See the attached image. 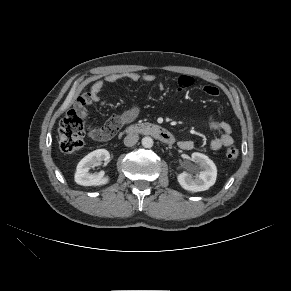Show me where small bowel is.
<instances>
[{
  "instance_id": "small-bowel-1",
  "label": "small bowel",
  "mask_w": 291,
  "mask_h": 291,
  "mask_svg": "<svg viewBox=\"0 0 291 291\" xmlns=\"http://www.w3.org/2000/svg\"><path fill=\"white\" fill-rule=\"evenodd\" d=\"M122 79H128L131 81H140L153 82L155 81V76L153 74H139L137 72H124V73H114L110 74L102 79H99L93 83L90 89L91 102L100 101V92L103 87L107 84L116 83ZM178 83V92L182 93L194 84V80L190 76L181 75L177 79ZM203 91L210 96H217L219 90L214 85H205ZM103 106L104 101L100 102ZM139 114V105L135 102L130 109L125 111L123 114L114 116L119 119L120 124H126L133 121ZM210 126L213 130L219 131L220 135L210 142V148L212 150H220L223 147L230 146L233 143V138L231 135V126L225 121H218L214 117H210ZM90 136L95 140H106L111 137L106 129V124L103 127L94 128L90 131ZM178 147L182 150H191L194 147V142L191 140H181L178 142Z\"/></svg>"
}]
</instances>
